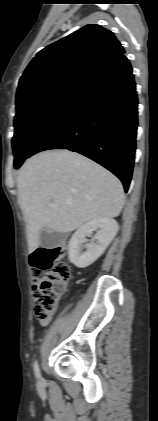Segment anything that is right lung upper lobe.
I'll list each match as a JSON object with an SVG mask.
<instances>
[{
    "label": "right lung upper lobe",
    "mask_w": 158,
    "mask_h": 421,
    "mask_svg": "<svg viewBox=\"0 0 158 421\" xmlns=\"http://www.w3.org/2000/svg\"><path fill=\"white\" fill-rule=\"evenodd\" d=\"M124 53L111 31L86 25L37 53L20 78L16 102L55 86L85 85Z\"/></svg>",
    "instance_id": "cb5924a9"
}]
</instances>
